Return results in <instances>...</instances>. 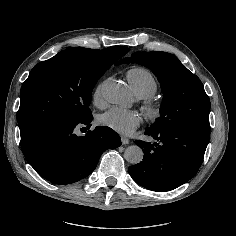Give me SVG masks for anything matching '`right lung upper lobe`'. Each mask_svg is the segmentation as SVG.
<instances>
[{
    "instance_id": "cb5924a9",
    "label": "right lung upper lobe",
    "mask_w": 236,
    "mask_h": 236,
    "mask_svg": "<svg viewBox=\"0 0 236 236\" xmlns=\"http://www.w3.org/2000/svg\"><path fill=\"white\" fill-rule=\"evenodd\" d=\"M103 51L113 54L117 59H120L129 52V49L126 47L114 46L103 49Z\"/></svg>"
}]
</instances>
